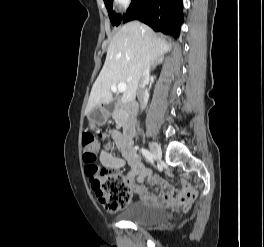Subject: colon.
Returning <instances> with one entry per match:
<instances>
[{
	"label": "colon",
	"instance_id": "colon-1",
	"mask_svg": "<svg viewBox=\"0 0 264 247\" xmlns=\"http://www.w3.org/2000/svg\"><path fill=\"white\" fill-rule=\"evenodd\" d=\"M98 137L108 139L109 134L100 132ZM93 141V135L84 136L85 171L89 177L92 191L107 212H118L129 205L131 200L130 188L120 172L111 168H101L97 164L98 152L93 146Z\"/></svg>",
	"mask_w": 264,
	"mask_h": 247
}]
</instances>
